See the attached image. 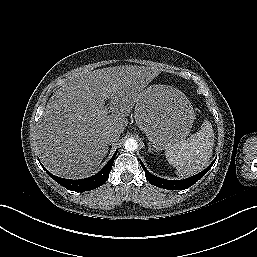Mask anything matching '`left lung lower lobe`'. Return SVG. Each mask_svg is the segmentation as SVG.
Listing matches in <instances>:
<instances>
[{
  "label": "left lung lower lobe",
  "mask_w": 257,
  "mask_h": 257,
  "mask_svg": "<svg viewBox=\"0 0 257 257\" xmlns=\"http://www.w3.org/2000/svg\"><path fill=\"white\" fill-rule=\"evenodd\" d=\"M215 160L202 172H200L192 177H189L187 179H184V180H166V179L156 177L148 172V170L145 168L142 161H140V163H141L143 170L145 171L146 178L152 185L160 187V188H164V189H170V190H184V189H187L190 186H192L201 177H203L209 171V169L212 167Z\"/></svg>",
  "instance_id": "1"
}]
</instances>
